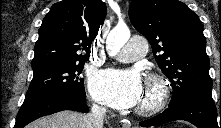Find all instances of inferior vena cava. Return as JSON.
<instances>
[{"label": "inferior vena cava", "mask_w": 221, "mask_h": 128, "mask_svg": "<svg viewBox=\"0 0 221 128\" xmlns=\"http://www.w3.org/2000/svg\"><path fill=\"white\" fill-rule=\"evenodd\" d=\"M106 108L93 104L91 112L84 117L86 128H103Z\"/></svg>", "instance_id": "602c4592"}]
</instances>
